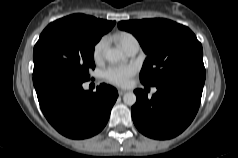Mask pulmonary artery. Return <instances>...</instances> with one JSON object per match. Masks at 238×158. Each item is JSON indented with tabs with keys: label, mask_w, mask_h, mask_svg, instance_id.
<instances>
[{
	"label": "pulmonary artery",
	"mask_w": 238,
	"mask_h": 158,
	"mask_svg": "<svg viewBox=\"0 0 238 158\" xmlns=\"http://www.w3.org/2000/svg\"><path fill=\"white\" fill-rule=\"evenodd\" d=\"M126 53L129 56H134L139 51V43L137 40L132 41L127 48L125 49ZM153 92H156V89H153Z\"/></svg>",
	"instance_id": "1"
}]
</instances>
